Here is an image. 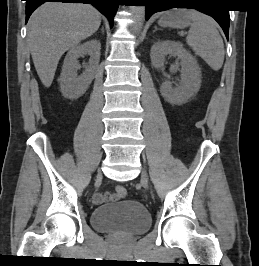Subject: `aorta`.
Returning <instances> with one entry per match:
<instances>
[{
  "label": "aorta",
  "mask_w": 259,
  "mask_h": 266,
  "mask_svg": "<svg viewBox=\"0 0 259 266\" xmlns=\"http://www.w3.org/2000/svg\"><path fill=\"white\" fill-rule=\"evenodd\" d=\"M130 12L134 20L133 30L139 32L143 25V19L145 17V7L144 6H130Z\"/></svg>",
  "instance_id": "1"
}]
</instances>
